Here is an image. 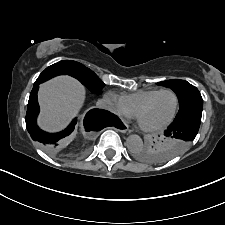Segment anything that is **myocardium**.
Wrapping results in <instances>:
<instances>
[{
	"instance_id": "f54148a6",
	"label": "myocardium",
	"mask_w": 225,
	"mask_h": 225,
	"mask_svg": "<svg viewBox=\"0 0 225 225\" xmlns=\"http://www.w3.org/2000/svg\"><path fill=\"white\" fill-rule=\"evenodd\" d=\"M162 93H171L174 95L175 97V108L173 110V113L172 115L170 116V118L165 121L164 123L158 125V126H154V127H147V126H144L142 123H141V115L143 113V111L148 107V105L157 97L159 96L160 94ZM179 107H180V99H179V96L178 94L172 90V89H160L158 92H156L155 94H153L151 97H149L136 111L135 113V117L138 121V124L140 126V128L146 132H158V131H162L164 130L165 128H167L170 124H172V122L175 120L176 116H177V113L179 111Z\"/></svg>"
}]
</instances>
